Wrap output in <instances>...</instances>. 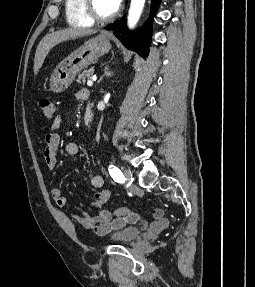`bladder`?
Wrapping results in <instances>:
<instances>
[{"label":"bladder","mask_w":255,"mask_h":287,"mask_svg":"<svg viewBox=\"0 0 255 287\" xmlns=\"http://www.w3.org/2000/svg\"><path fill=\"white\" fill-rule=\"evenodd\" d=\"M142 230L136 225H126L114 230L109 235V239L112 242H131L139 237Z\"/></svg>","instance_id":"1"}]
</instances>
